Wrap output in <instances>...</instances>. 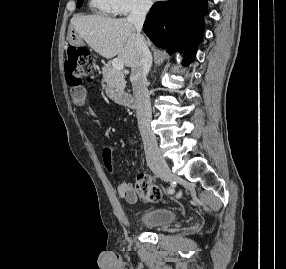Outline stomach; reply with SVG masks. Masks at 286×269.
<instances>
[{"instance_id": "1", "label": "stomach", "mask_w": 286, "mask_h": 269, "mask_svg": "<svg viewBox=\"0 0 286 269\" xmlns=\"http://www.w3.org/2000/svg\"><path fill=\"white\" fill-rule=\"evenodd\" d=\"M67 39H68L69 43L72 45H81L82 44V38L76 32H69Z\"/></svg>"}]
</instances>
